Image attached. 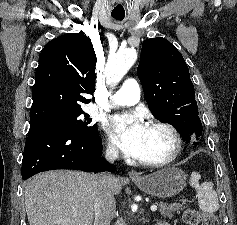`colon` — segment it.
I'll return each mask as SVG.
<instances>
[{
    "mask_svg": "<svg viewBox=\"0 0 237 225\" xmlns=\"http://www.w3.org/2000/svg\"><path fill=\"white\" fill-rule=\"evenodd\" d=\"M183 221L187 225H220L217 217L214 214H201L199 211L192 208H187L184 210Z\"/></svg>",
    "mask_w": 237,
    "mask_h": 225,
    "instance_id": "5ec220e1",
    "label": "colon"
}]
</instances>
